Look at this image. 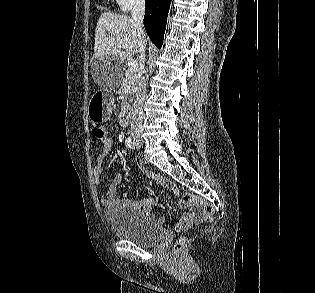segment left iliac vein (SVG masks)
I'll list each match as a JSON object with an SVG mask.
<instances>
[{
    "label": "left iliac vein",
    "mask_w": 315,
    "mask_h": 293,
    "mask_svg": "<svg viewBox=\"0 0 315 293\" xmlns=\"http://www.w3.org/2000/svg\"><path fill=\"white\" fill-rule=\"evenodd\" d=\"M141 147V144L137 143V148H140Z\"/></svg>",
    "instance_id": "4c4485c4"
}]
</instances>
